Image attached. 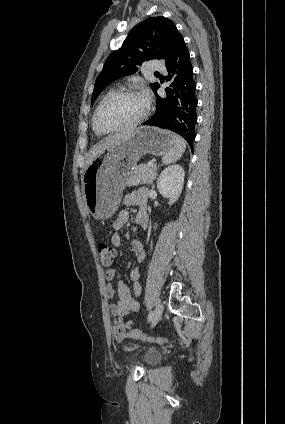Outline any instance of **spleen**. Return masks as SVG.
I'll list each match as a JSON object with an SVG mask.
<instances>
[{"label": "spleen", "mask_w": 285, "mask_h": 424, "mask_svg": "<svg viewBox=\"0 0 285 424\" xmlns=\"http://www.w3.org/2000/svg\"><path fill=\"white\" fill-rule=\"evenodd\" d=\"M185 150H186V142H185V140L182 137L178 136V135H174V138H173V147L162 158V162L164 164H170V163H173V162L177 161L178 159H180V157L185 152Z\"/></svg>", "instance_id": "spleen-1"}]
</instances>
